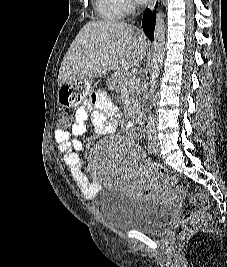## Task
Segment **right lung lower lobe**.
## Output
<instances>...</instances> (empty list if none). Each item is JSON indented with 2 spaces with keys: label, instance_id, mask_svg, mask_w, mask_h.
<instances>
[{
  "label": "right lung lower lobe",
  "instance_id": "obj_1",
  "mask_svg": "<svg viewBox=\"0 0 227 267\" xmlns=\"http://www.w3.org/2000/svg\"><path fill=\"white\" fill-rule=\"evenodd\" d=\"M155 17L156 12H151L148 8L144 12L143 20H142V26L145 34L150 38V40H153L154 36V27H155Z\"/></svg>",
  "mask_w": 227,
  "mask_h": 267
}]
</instances>
